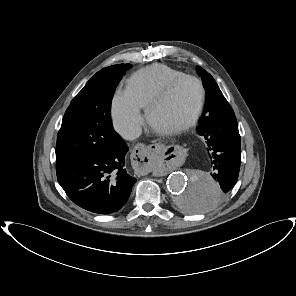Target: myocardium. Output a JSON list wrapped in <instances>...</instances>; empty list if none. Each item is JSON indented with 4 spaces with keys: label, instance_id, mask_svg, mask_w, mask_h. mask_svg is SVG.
Listing matches in <instances>:
<instances>
[{
    "label": "myocardium",
    "instance_id": "f54148a6",
    "mask_svg": "<svg viewBox=\"0 0 296 296\" xmlns=\"http://www.w3.org/2000/svg\"><path fill=\"white\" fill-rule=\"evenodd\" d=\"M183 80H192L194 81L199 89V97L197 104L193 110V112L190 114V116L184 120L183 122L169 127V128H159L155 125L154 120H153V113L154 110L161 105L170 95L174 87L180 83ZM205 98H206V91L203 82L196 76L189 75V74H182L174 79H172L170 82H168L165 87L150 101L146 108V114H147V119L149 124L158 132L165 134V135H173L180 133L182 131H185L192 127L196 121L198 120L202 109L204 107L205 103Z\"/></svg>",
    "mask_w": 296,
    "mask_h": 296
}]
</instances>
